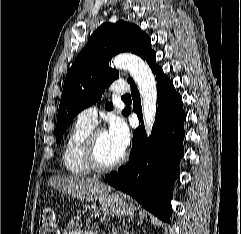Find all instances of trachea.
<instances>
[{
  "label": "trachea",
  "mask_w": 241,
  "mask_h": 234,
  "mask_svg": "<svg viewBox=\"0 0 241 234\" xmlns=\"http://www.w3.org/2000/svg\"><path fill=\"white\" fill-rule=\"evenodd\" d=\"M122 99L129 100V99H131V96L127 94V95L123 96Z\"/></svg>",
  "instance_id": "trachea-1"
}]
</instances>
